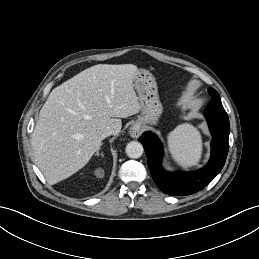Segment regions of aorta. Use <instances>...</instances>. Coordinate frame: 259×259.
Returning <instances> with one entry per match:
<instances>
[{"mask_svg": "<svg viewBox=\"0 0 259 259\" xmlns=\"http://www.w3.org/2000/svg\"><path fill=\"white\" fill-rule=\"evenodd\" d=\"M126 154L129 158L137 159L143 154V146L137 141H131L126 145Z\"/></svg>", "mask_w": 259, "mask_h": 259, "instance_id": "762f6f07", "label": "aorta"}]
</instances>
